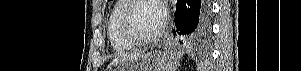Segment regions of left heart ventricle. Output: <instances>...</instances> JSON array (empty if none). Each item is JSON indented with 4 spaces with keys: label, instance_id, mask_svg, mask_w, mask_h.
Masks as SVG:
<instances>
[{
    "label": "left heart ventricle",
    "instance_id": "b2bd125f",
    "mask_svg": "<svg viewBox=\"0 0 301 71\" xmlns=\"http://www.w3.org/2000/svg\"><path fill=\"white\" fill-rule=\"evenodd\" d=\"M131 26L140 37H149L163 25L158 5L153 2H142L131 12Z\"/></svg>",
    "mask_w": 301,
    "mask_h": 71
}]
</instances>
